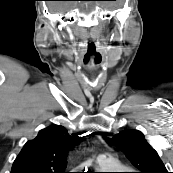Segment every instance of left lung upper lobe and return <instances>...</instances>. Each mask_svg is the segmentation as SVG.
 Segmentation results:
<instances>
[{
	"label": "left lung upper lobe",
	"instance_id": "left-lung-upper-lobe-1",
	"mask_svg": "<svg viewBox=\"0 0 173 173\" xmlns=\"http://www.w3.org/2000/svg\"><path fill=\"white\" fill-rule=\"evenodd\" d=\"M112 142L140 170L139 173H168L157 152L147 143L142 132L125 130L114 135Z\"/></svg>",
	"mask_w": 173,
	"mask_h": 173
}]
</instances>
